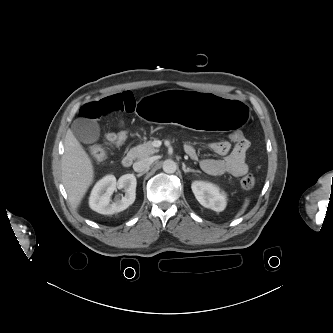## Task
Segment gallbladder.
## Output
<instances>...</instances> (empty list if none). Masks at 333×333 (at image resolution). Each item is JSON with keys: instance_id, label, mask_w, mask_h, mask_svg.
<instances>
[{"instance_id": "gallbladder-1", "label": "gallbladder", "mask_w": 333, "mask_h": 333, "mask_svg": "<svg viewBox=\"0 0 333 333\" xmlns=\"http://www.w3.org/2000/svg\"><path fill=\"white\" fill-rule=\"evenodd\" d=\"M74 136L83 143L95 142L100 135L99 125L87 118L76 119L71 126Z\"/></svg>"}]
</instances>
